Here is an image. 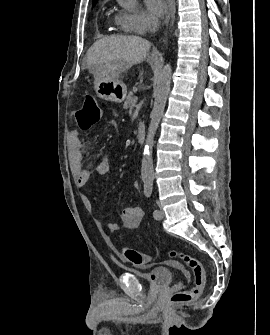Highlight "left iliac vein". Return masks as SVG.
Masks as SVG:
<instances>
[{
    "mask_svg": "<svg viewBox=\"0 0 270 335\" xmlns=\"http://www.w3.org/2000/svg\"><path fill=\"white\" fill-rule=\"evenodd\" d=\"M158 211H159V214L156 217V219L160 220V219H162L164 217V211H163V209L160 206H159V210Z\"/></svg>",
    "mask_w": 270,
    "mask_h": 335,
    "instance_id": "left-iliac-vein-1",
    "label": "left iliac vein"
}]
</instances>
